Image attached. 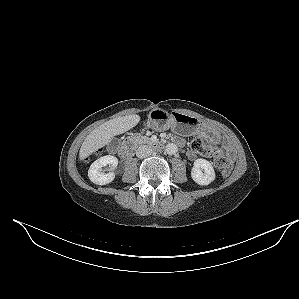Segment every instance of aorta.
I'll list each match as a JSON object with an SVG mask.
<instances>
[{
	"mask_svg": "<svg viewBox=\"0 0 299 299\" xmlns=\"http://www.w3.org/2000/svg\"><path fill=\"white\" fill-rule=\"evenodd\" d=\"M177 151H178V148L173 143H169L165 147V152L169 155H173V154L177 153Z\"/></svg>",
	"mask_w": 299,
	"mask_h": 299,
	"instance_id": "762f6f07",
	"label": "aorta"
}]
</instances>
